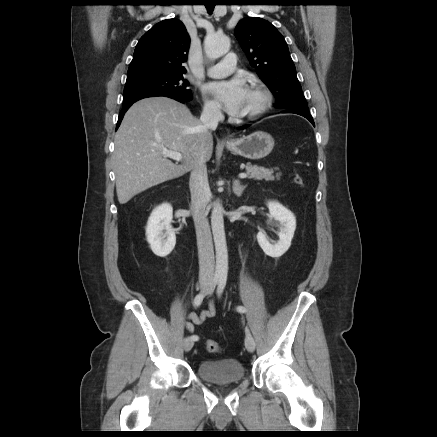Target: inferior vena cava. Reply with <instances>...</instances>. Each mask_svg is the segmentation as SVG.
<instances>
[{
	"label": "inferior vena cava",
	"mask_w": 437,
	"mask_h": 437,
	"mask_svg": "<svg viewBox=\"0 0 437 437\" xmlns=\"http://www.w3.org/2000/svg\"><path fill=\"white\" fill-rule=\"evenodd\" d=\"M221 118L222 113L218 108L208 106L203 109L200 121L203 128L209 131L217 128ZM189 187L191 192V211L197 236L199 281L201 283H210L214 278L215 260L212 235L206 210L211 192L205 162H200L192 169Z\"/></svg>",
	"instance_id": "obj_1"
}]
</instances>
